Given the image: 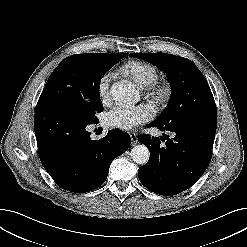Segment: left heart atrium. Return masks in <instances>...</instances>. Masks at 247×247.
<instances>
[{
  "instance_id": "left-heart-atrium-1",
  "label": "left heart atrium",
  "mask_w": 247,
  "mask_h": 247,
  "mask_svg": "<svg viewBox=\"0 0 247 247\" xmlns=\"http://www.w3.org/2000/svg\"><path fill=\"white\" fill-rule=\"evenodd\" d=\"M154 114L153 108L148 104L137 106L117 105L105 116L108 126L130 130L148 121Z\"/></svg>"
}]
</instances>
